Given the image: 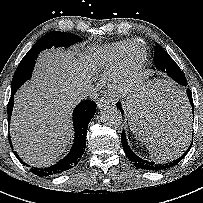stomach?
<instances>
[{
    "label": "stomach",
    "instance_id": "stomach-1",
    "mask_svg": "<svg viewBox=\"0 0 203 203\" xmlns=\"http://www.w3.org/2000/svg\"><path fill=\"white\" fill-rule=\"evenodd\" d=\"M137 96H140L141 98H143L142 99V104H141V107L143 106V105H145V95H144V92H141L140 94H138ZM137 96H134L133 98H131L130 100H133V99H135ZM136 132V131H135ZM137 133H139V132H137Z\"/></svg>",
    "mask_w": 203,
    "mask_h": 203
}]
</instances>
